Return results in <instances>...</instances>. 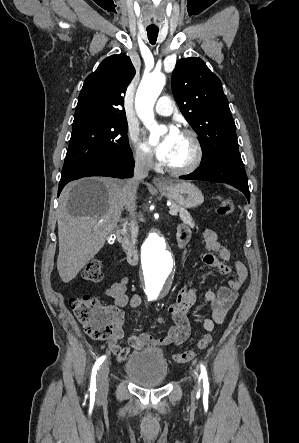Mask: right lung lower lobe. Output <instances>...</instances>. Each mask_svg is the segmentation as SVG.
<instances>
[{
    "label": "right lung lower lobe",
    "mask_w": 299,
    "mask_h": 443,
    "mask_svg": "<svg viewBox=\"0 0 299 443\" xmlns=\"http://www.w3.org/2000/svg\"><path fill=\"white\" fill-rule=\"evenodd\" d=\"M134 160L132 152L130 155L115 159L101 160L96 163L83 167L82 169L70 174L60 180L58 196L64 186L72 181L88 176H108L114 178H129L133 176Z\"/></svg>",
    "instance_id": "1"
}]
</instances>
